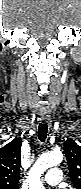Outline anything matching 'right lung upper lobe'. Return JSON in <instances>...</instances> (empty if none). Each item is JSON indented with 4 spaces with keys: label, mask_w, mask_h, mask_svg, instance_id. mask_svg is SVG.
<instances>
[{
    "label": "right lung upper lobe",
    "mask_w": 81,
    "mask_h": 189,
    "mask_svg": "<svg viewBox=\"0 0 81 189\" xmlns=\"http://www.w3.org/2000/svg\"><path fill=\"white\" fill-rule=\"evenodd\" d=\"M22 139L13 141L0 149V189H17L20 179Z\"/></svg>",
    "instance_id": "cb5924a9"
}]
</instances>
